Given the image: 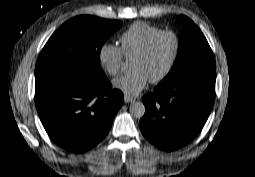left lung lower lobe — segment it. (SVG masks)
<instances>
[{
  "mask_svg": "<svg viewBox=\"0 0 255 177\" xmlns=\"http://www.w3.org/2000/svg\"><path fill=\"white\" fill-rule=\"evenodd\" d=\"M215 80V72H201L146 94V111L139 123L145 138L166 151L191 142L213 107Z\"/></svg>",
  "mask_w": 255,
  "mask_h": 177,
  "instance_id": "obj_1",
  "label": "left lung lower lobe"
}]
</instances>
